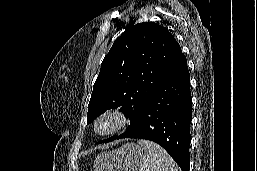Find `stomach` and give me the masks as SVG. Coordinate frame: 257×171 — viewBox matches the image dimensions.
<instances>
[{"instance_id":"1","label":"stomach","mask_w":257,"mask_h":171,"mask_svg":"<svg viewBox=\"0 0 257 171\" xmlns=\"http://www.w3.org/2000/svg\"><path fill=\"white\" fill-rule=\"evenodd\" d=\"M143 159V150L129 143L117 150L99 154L94 162V171H138Z\"/></svg>"}]
</instances>
